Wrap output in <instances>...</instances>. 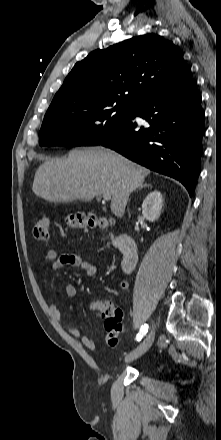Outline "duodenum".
<instances>
[{
  "instance_id": "1",
  "label": "duodenum",
  "mask_w": 221,
  "mask_h": 440,
  "mask_svg": "<svg viewBox=\"0 0 221 440\" xmlns=\"http://www.w3.org/2000/svg\"><path fill=\"white\" fill-rule=\"evenodd\" d=\"M114 242L122 253V271L131 272L138 260V250L134 239L128 234H118L114 236Z\"/></svg>"
}]
</instances>
